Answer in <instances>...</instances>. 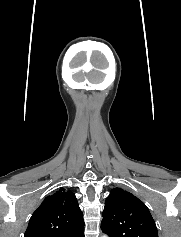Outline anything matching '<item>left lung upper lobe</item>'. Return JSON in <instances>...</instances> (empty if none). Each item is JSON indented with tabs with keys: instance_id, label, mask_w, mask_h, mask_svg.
Masks as SVG:
<instances>
[{
	"instance_id": "obj_1",
	"label": "left lung upper lobe",
	"mask_w": 181,
	"mask_h": 237,
	"mask_svg": "<svg viewBox=\"0 0 181 237\" xmlns=\"http://www.w3.org/2000/svg\"><path fill=\"white\" fill-rule=\"evenodd\" d=\"M102 216L101 229L109 237H158L146 205L123 189L111 190Z\"/></svg>"
}]
</instances>
